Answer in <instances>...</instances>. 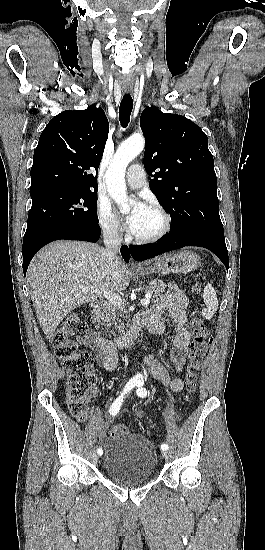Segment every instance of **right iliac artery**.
<instances>
[{"label":"right iliac artery","instance_id":"82829eb1","mask_svg":"<svg viewBox=\"0 0 265 550\" xmlns=\"http://www.w3.org/2000/svg\"><path fill=\"white\" fill-rule=\"evenodd\" d=\"M138 378H131L127 384L125 385L124 389H123V392L121 393V395L112 403V405L110 406V410H109V413L110 415L112 416H115L117 415V413L119 412L120 408H121V405H122V402H123V399H124V396L125 394H127L129 391H131L137 384L138 382ZM98 454H101L102 453V449L99 448L97 450Z\"/></svg>","mask_w":265,"mask_h":550}]
</instances>
